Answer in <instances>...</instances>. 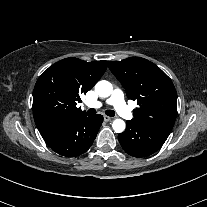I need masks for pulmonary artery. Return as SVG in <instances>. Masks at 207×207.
Instances as JSON below:
<instances>
[{"instance_id": "e3ab8cb5", "label": "pulmonary artery", "mask_w": 207, "mask_h": 207, "mask_svg": "<svg viewBox=\"0 0 207 207\" xmlns=\"http://www.w3.org/2000/svg\"><path fill=\"white\" fill-rule=\"evenodd\" d=\"M107 104H111L114 106L115 110L120 114L121 116L131 119L132 114L130 110L128 109L127 105L124 102V95L123 92L119 89H116L112 95L106 100ZM103 105L102 102L99 101H93V102H88L87 106L92 107V108H99Z\"/></svg>"}]
</instances>
